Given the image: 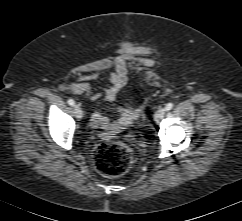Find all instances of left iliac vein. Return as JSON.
Returning a JSON list of instances; mask_svg holds the SVG:
<instances>
[{
    "label": "left iliac vein",
    "instance_id": "1",
    "mask_svg": "<svg viewBox=\"0 0 242 221\" xmlns=\"http://www.w3.org/2000/svg\"><path fill=\"white\" fill-rule=\"evenodd\" d=\"M165 115V109L163 108H159L156 112H155V115H154V118L156 120H160L164 117Z\"/></svg>",
    "mask_w": 242,
    "mask_h": 221
}]
</instances>
